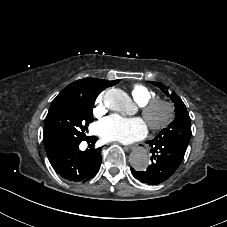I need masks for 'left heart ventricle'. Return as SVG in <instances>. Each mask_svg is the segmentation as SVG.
<instances>
[{"label":"left heart ventricle","instance_id":"left-heart-ventricle-1","mask_svg":"<svg viewBox=\"0 0 227 227\" xmlns=\"http://www.w3.org/2000/svg\"><path fill=\"white\" fill-rule=\"evenodd\" d=\"M165 115H166L165 108L164 107H158L150 115L149 121L154 122V123H158V122H160L164 119Z\"/></svg>","mask_w":227,"mask_h":227}]
</instances>
